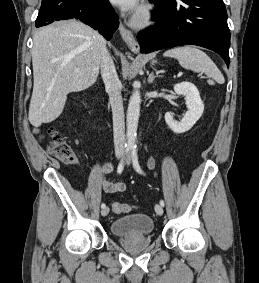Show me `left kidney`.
<instances>
[{
  "label": "left kidney",
  "instance_id": "obj_1",
  "mask_svg": "<svg viewBox=\"0 0 259 283\" xmlns=\"http://www.w3.org/2000/svg\"><path fill=\"white\" fill-rule=\"evenodd\" d=\"M174 91L177 95H185L188 111L180 122L176 121L170 113H166L165 121L174 133L180 134L189 131L199 120L204 111V104L193 83H178L174 86Z\"/></svg>",
  "mask_w": 259,
  "mask_h": 283
}]
</instances>
